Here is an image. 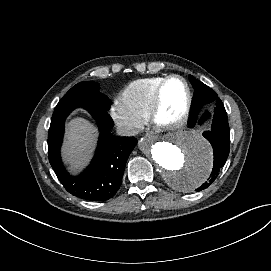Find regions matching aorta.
I'll return each instance as SVG.
<instances>
[{"label":"aorta","instance_id":"762f6f07","mask_svg":"<svg viewBox=\"0 0 271 271\" xmlns=\"http://www.w3.org/2000/svg\"><path fill=\"white\" fill-rule=\"evenodd\" d=\"M140 145L162 178L177 191L193 192L212 171V147L195 131L171 132L160 140L144 138Z\"/></svg>","mask_w":271,"mask_h":271}]
</instances>
